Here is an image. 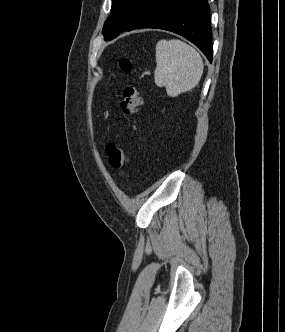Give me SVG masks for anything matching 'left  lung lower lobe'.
<instances>
[{
	"label": "left lung lower lobe",
	"instance_id": "1",
	"mask_svg": "<svg viewBox=\"0 0 285 332\" xmlns=\"http://www.w3.org/2000/svg\"><path fill=\"white\" fill-rule=\"evenodd\" d=\"M140 28H158L177 33L194 43L212 62L207 0H152L125 30Z\"/></svg>",
	"mask_w": 285,
	"mask_h": 332
}]
</instances>
